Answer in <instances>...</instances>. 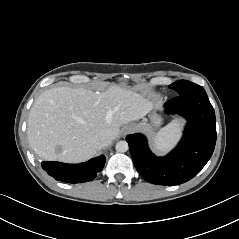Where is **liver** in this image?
I'll list each match as a JSON object with an SVG mask.
<instances>
[{"mask_svg":"<svg viewBox=\"0 0 239 239\" xmlns=\"http://www.w3.org/2000/svg\"><path fill=\"white\" fill-rule=\"evenodd\" d=\"M153 104L143 95L119 86L104 92L57 87L44 91L30 109L27 137L31 148L45 160L86 161L111 143L120 127L146 116Z\"/></svg>","mask_w":239,"mask_h":239,"instance_id":"liver-1","label":"liver"}]
</instances>
